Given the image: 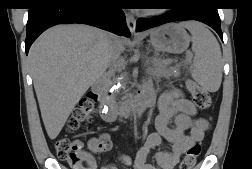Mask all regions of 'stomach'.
Masks as SVG:
<instances>
[{"label":"stomach","instance_id":"obj_1","mask_svg":"<svg viewBox=\"0 0 252 169\" xmlns=\"http://www.w3.org/2000/svg\"><path fill=\"white\" fill-rule=\"evenodd\" d=\"M150 43L160 51L182 53L190 43V37L181 24L169 23L151 32Z\"/></svg>","mask_w":252,"mask_h":169}]
</instances>
